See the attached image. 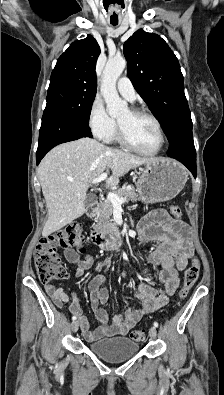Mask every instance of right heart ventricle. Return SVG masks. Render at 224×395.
I'll use <instances>...</instances> for the list:
<instances>
[{"mask_svg":"<svg viewBox=\"0 0 224 395\" xmlns=\"http://www.w3.org/2000/svg\"><path fill=\"white\" fill-rule=\"evenodd\" d=\"M116 139H117V135L114 132V134L108 140H116Z\"/></svg>","mask_w":224,"mask_h":395,"instance_id":"right-heart-ventricle-1","label":"right heart ventricle"}]
</instances>
